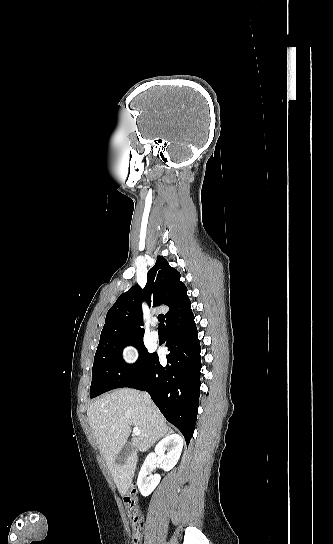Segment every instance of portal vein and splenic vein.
Wrapping results in <instances>:
<instances>
[{"mask_svg":"<svg viewBox=\"0 0 333 544\" xmlns=\"http://www.w3.org/2000/svg\"><path fill=\"white\" fill-rule=\"evenodd\" d=\"M133 434H134L135 436H137V437L140 436V434H141L140 429L137 428V427H133Z\"/></svg>","mask_w":333,"mask_h":544,"instance_id":"obj_1","label":"portal vein and splenic vein"}]
</instances>
